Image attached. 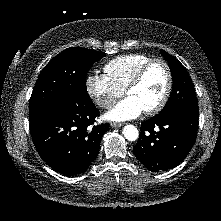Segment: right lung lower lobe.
I'll return each instance as SVG.
<instances>
[{
	"instance_id": "right-lung-lower-lobe-1",
	"label": "right lung lower lobe",
	"mask_w": 221,
	"mask_h": 221,
	"mask_svg": "<svg viewBox=\"0 0 221 221\" xmlns=\"http://www.w3.org/2000/svg\"><path fill=\"white\" fill-rule=\"evenodd\" d=\"M99 110L89 100H61L30 119V133L41 158L54 171L71 176L85 172L97 158L109 124L93 125Z\"/></svg>"
}]
</instances>
